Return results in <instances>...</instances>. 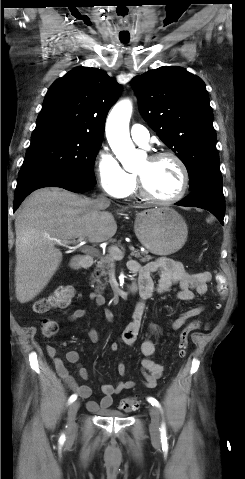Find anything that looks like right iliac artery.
I'll return each mask as SVG.
<instances>
[{
  "label": "right iliac artery",
  "instance_id": "1",
  "mask_svg": "<svg viewBox=\"0 0 245 479\" xmlns=\"http://www.w3.org/2000/svg\"><path fill=\"white\" fill-rule=\"evenodd\" d=\"M76 399H77V395L73 394V395L70 396V398L68 400V403L70 404V403L74 402Z\"/></svg>",
  "mask_w": 245,
  "mask_h": 479
}]
</instances>
